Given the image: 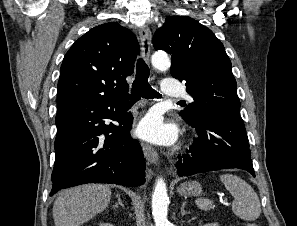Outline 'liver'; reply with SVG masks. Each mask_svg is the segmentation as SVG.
I'll return each instance as SVG.
<instances>
[{"label": "liver", "mask_w": 297, "mask_h": 226, "mask_svg": "<svg viewBox=\"0 0 297 226\" xmlns=\"http://www.w3.org/2000/svg\"><path fill=\"white\" fill-rule=\"evenodd\" d=\"M111 189L106 185L88 184L65 190L53 205L55 226H80L109 205Z\"/></svg>", "instance_id": "liver-1"}]
</instances>
